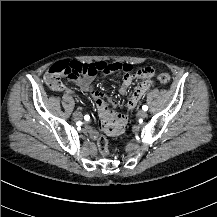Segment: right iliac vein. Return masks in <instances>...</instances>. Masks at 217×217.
<instances>
[{
	"label": "right iliac vein",
	"mask_w": 217,
	"mask_h": 217,
	"mask_svg": "<svg viewBox=\"0 0 217 217\" xmlns=\"http://www.w3.org/2000/svg\"><path fill=\"white\" fill-rule=\"evenodd\" d=\"M73 117L76 119V120H80V119H82V117H83V115H82V113L81 112H75L74 114H73Z\"/></svg>",
	"instance_id": "obj_1"
}]
</instances>
